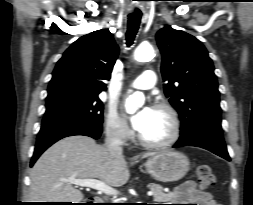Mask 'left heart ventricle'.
I'll use <instances>...</instances> for the list:
<instances>
[{
  "label": "left heart ventricle",
  "instance_id": "obj_1",
  "mask_svg": "<svg viewBox=\"0 0 253 205\" xmlns=\"http://www.w3.org/2000/svg\"><path fill=\"white\" fill-rule=\"evenodd\" d=\"M171 132V123L168 115L161 110L153 109V112L139 134L149 141H161L166 139Z\"/></svg>",
  "mask_w": 253,
  "mask_h": 205
}]
</instances>
